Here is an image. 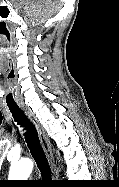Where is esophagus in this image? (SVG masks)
Segmentation results:
<instances>
[{
  "label": "esophagus",
  "instance_id": "1",
  "mask_svg": "<svg viewBox=\"0 0 119 187\" xmlns=\"http://www.w3.org/2000/svg\"><path fill=\"white\" fill-rule=\"evenodd\" d=\"M20 107L23 110V112L26 114V116L29 118V120L33 123V125L35 126V128L37 130L41 146L43 148V151H44L46 158L49 162V165L51 167L53 178H58L59 175H58V170L54 164L53 151H52L51 145L49 143V140L46 137V134H45L43 128L39 124L34 113L28 107L23 106V105H21Z\"/></svg>",
  "mask_w": 119,
  "mask_h": 187
}]
</instances>
